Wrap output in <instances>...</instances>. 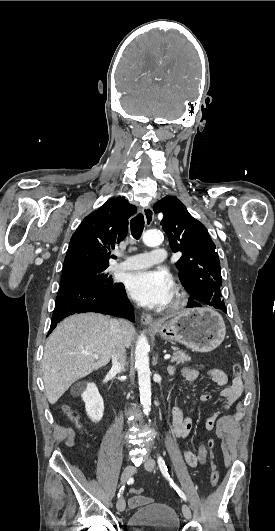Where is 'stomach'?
Returning <instances> with one entry per match:
<instances>
[{
  "mask_svg": "<svg viewBox=\"0 0 275 531\" xmlns=\"http://www.w3.org/2000/svg\"><path fill=\"white\" fill-rule=\"evenodd\" d=\"M155 329L161 339L181 343L197 353H210L217 349L226 335L225 323L213 309H186L172 319H161Z\"/></svg>",
  "mask_w": 275,
  "mask_h": 531,
  "instance_id": "0dacf381",
  "label": "stomach"
}]
</instances>
